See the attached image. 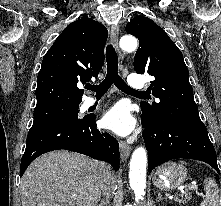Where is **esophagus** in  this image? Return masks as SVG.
<instances>
[{
    "mask_svg": "<svg viewBox=\"0 0 221 206\" xmlns=\"http://www.w3.org/2000/svg\"><path fill=\"white\" fill-rule=\"evenodd\" d=\"M118 35L119 29L117 26L113 25L110 28V37L114 47L117 49L119 57L122 58V55L118 49ZM120 155L123 161H126L131 153V147L126 144L124 141H119Z\"/></svg>",
    "mask_w": 221,
    "mask_h": 206,
    "instance_id": "esophagus-1",
    "label": "esophagus"
}]
</instances>
